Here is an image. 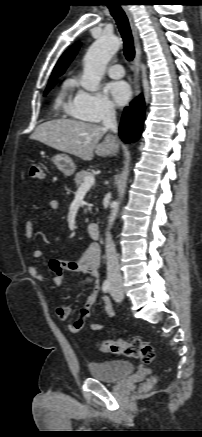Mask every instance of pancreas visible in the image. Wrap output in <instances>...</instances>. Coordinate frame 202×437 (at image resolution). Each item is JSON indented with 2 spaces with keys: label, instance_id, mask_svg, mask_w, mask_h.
<instances>
[{
  "label": "pancreas",
  "instance_id": "cf45deb5",
  "mask_svg": "<svg viewBox=\"0 0 202 437\" xmlns=\"http://www.w3.org/2000/svg\"><path fill=\"white\" fill-rule=\"evenodd\" d=\"M87 176H92V173L89 172V170H82V171L78 172L74 178L76 186H80L83 183L85 177H87ZM86 211L87 210H85V212Z\"/></svg>",
  "mask_w": 202,
  "mask_h": 437
}]
</instances>
